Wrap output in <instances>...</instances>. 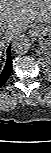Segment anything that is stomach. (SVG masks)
<instances>
[{
    "label": "stomach",
    "instance_id": "stomach-1",
    "mask_svg": "<svg viewBox=\"0 0 51 153\" xmlns=\"http://www.w3.org/2000/svg\"><path fill=\"white\" fill-rule=\"evenodd\" d=\"M35 35L39 39L40 47L48 54L51 52V23L34 27Z\"/></svg>",
    "mask_w": 51,
    "mask_h": 153
}]
</instances>
